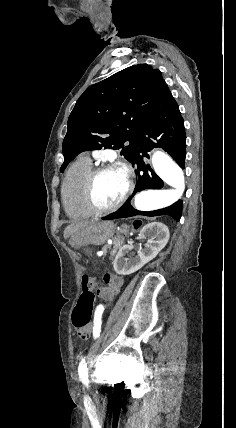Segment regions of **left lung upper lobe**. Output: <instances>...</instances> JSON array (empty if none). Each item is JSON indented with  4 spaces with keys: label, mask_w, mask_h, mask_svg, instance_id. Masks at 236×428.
<instances>
[{
    "label": "left lung upper lobe",
    "mask_w": 236,
    "mask_h": 428,
    "mask_svg": "<svg viewBox=\"0 0 236 428\" xmlns=\"http://www.w3.org/2000/svg\"><path fill=\"white\" fill-rule=\"evenodd\" d=\"M173 101L161 72L147 64L130 66L88 87L68 118L60 171L80 152L103 147L121 149L134 164L143 127Z\"/></svg>",
    "instance_id": "obj_1"
}]
</instances>
